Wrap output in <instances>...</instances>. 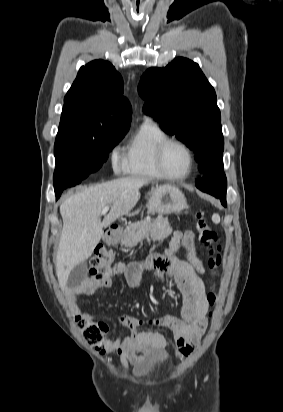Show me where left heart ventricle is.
I'll use <instances>...</instances> for the list:
<instances>
[{"mask_svg":"<svg viewBox=\"0 0 283 412\" xmlns=\"http://www.w3.org/2000/svg\"><path fill=\"white\" fill-rule=\"evenodd\" d=\"M165 169L173 175H182L189 168V157L185 149L179 145H171L164 156Z\"/></svg>","mask_w":283,"mask_h":412,"instance_id":"1","label":"left heart ventricle"}]
</instances>
